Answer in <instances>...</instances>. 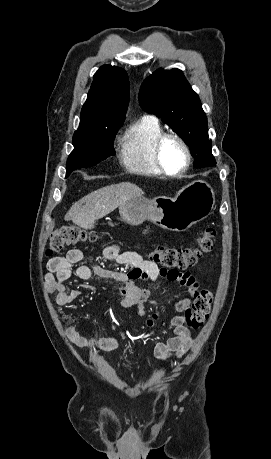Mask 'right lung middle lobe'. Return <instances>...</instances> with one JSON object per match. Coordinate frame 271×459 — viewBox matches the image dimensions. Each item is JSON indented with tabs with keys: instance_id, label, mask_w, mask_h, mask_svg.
<instances>
[{
	"instance_id": "1",
	"label": "right lung middle lobe",
	"mask_w": 271,
	"mask_h": 459,
	"mask_svg": "<svg viewBox=\"0 0 271 459\" xmlns=\"http://www.w3.org/2000/svg\"><path fill=\"white\" fill-rule=\"evenodd\" d=\"M124 119L95 118L80 121L73 135L74 150L67 159L66 177L114 155L113 140Z\"/></svg>"
}]
</instances>
